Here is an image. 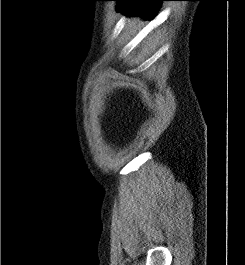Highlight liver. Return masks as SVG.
I'll return each instance as SVG.
<instances>
[{
  "instance_id": "liver-1",
  "label": "liver",
  "mask_w": 245,
  "mask_h": 265,
  "mask_svg": "<svg viewBox=\"0 0 245 265\" xmlns=\"http://www.w3.org/2000/svg\"><path fill=\"white\" fill-rule=\"evenodd\" d=\"M140 22V18L139 17H135L132 19V21H128V26L132 27L133 25H135L136 23Z\"/></svg>"
}]
</instances>
